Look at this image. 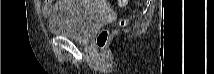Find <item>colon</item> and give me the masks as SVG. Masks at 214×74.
I'll return each instance as SVG.
<instances>
[{"label": "colon", "mask_w": 214, "mask_h": 74, "mask_svg": "<svg viewBox=\"0 0 214 74\" xmlns=\"http://www.w3.org/2000/svg\"><path fill=\"white\" fill-rule=\"evenodd\" d=\"M127 0H118L116 1V5L118 8H123L126 4H127ZM128 24V20L127 19H121L119 21V25L121 27H125ZM109 36H110V32L108 29H102L99 31L98 35H97V44L101 47V48H105L107 45V42L109 40Z\"/></svg>", "instance_id": "1"}]
</instances>
